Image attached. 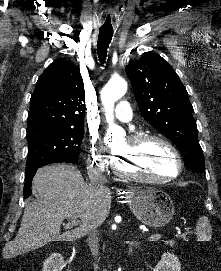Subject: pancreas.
I'll return each mask as SVG.
<instances>
[{"label": "pancreas", "mask_w": 221, "mask_h": 271, "mask_svg": "<svg viewBox=\"0 0 221 271\" xmlns=\"http://www.w3.org/2000/svg\"><path fill=\"white\" fill-rule=\"evenodd\" d=\"M160 243H163V247H175L177 240L176 239H165L164 242L163 240H160Z\"/></svg>", "instance_id": "1"}]
</instances>
